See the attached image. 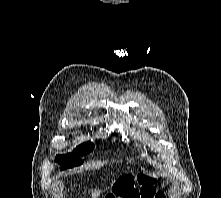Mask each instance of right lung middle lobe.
Returning <instances> with one entry per match:
<instances>
[{
    "instance_id": "right-lung-middle-lobe-1",
    "label": "right lung middle lobe",
    "mask_w": 221,
    "mask_h": 198,
    "mask_svg": "<svg viewBox=\"0 0 221 198\" xmlns=\"http://www.w3.org/2000/svg\"><path fill=\"white\" fill-rule=\"evenodd\" d=\"M93 148L94 145L92 142L81 144L80 146L76 147V149H74L75 155L71 153L66 155H58L55 158V162L61 165L60 170H65L68 168L79 166L83 163V161L80 158H77L76 155H86L89 152H91Z\"/></svg>"
}]
</instances>
